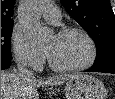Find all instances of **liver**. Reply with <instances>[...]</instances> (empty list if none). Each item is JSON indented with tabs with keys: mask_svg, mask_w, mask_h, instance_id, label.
<instances>
[{
	"mask_svg": "<svg viewBox=\"0 0 115 99\" xmlns=\"http://www.w3.org/2000/svg\"><path fill=\"white\" fill-rule=\"evenodd\" d=\"M75 75H63L47 80L34 77L22 79L16 72L1 71V99H39L36 87L57 86Z\"/></svg>",
	"mask_w": 115,
	"mask_h": 99,
	"instance_id": "6515ba94",
	"label": "liver"
}]
</instances>
